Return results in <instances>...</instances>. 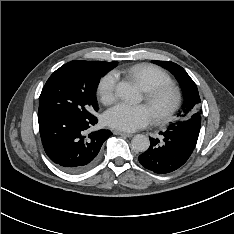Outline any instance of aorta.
<instances>
[{"mask_svg": "<svg viewBox=\"0 0 234 234\" xmlns=\"http://www.w3.org/2000/svg\"><path fill=\"white\" fill-rule=\"evenodd\" d=\"M116 94L127 102H137L140 94L136 86L129 82H119L116 86ZM150 146L149 138L143 134H137L132 139V147L138 152H145Z\"/></svg>", "mask_w": 234, "mask_h": 234, "instance_id": "aorta-1", "label": "aorta"}]
</instances>
